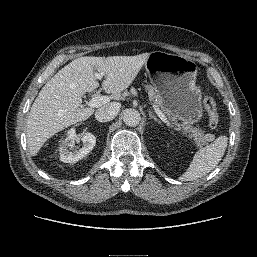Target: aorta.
<instances>
[{
	"mask_svg": "<svg viewBox=\"0 0 257 257\" xmlns=\"http://www.w3.org/2000/svg\"><path fill=\"white\" fill-rule=\"evenodd\" d=\"M123 121L127 126L134 127L137 126L141 121V116L139 111L136 109H126L123 113Z\"/></svg>",
	"mask_w": 257,
	"mask_h": 257,
	"instance_id": "1",
	"label": "aorta"
}]
</instances>
